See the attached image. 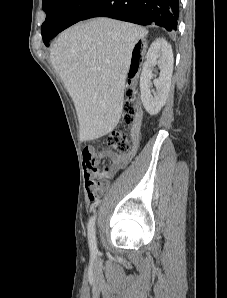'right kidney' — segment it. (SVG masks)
Masks as SVG:
<instances>
[{"instance_id":"1","label":"right kidney","mask_w":227,"mask_h":298,"mask_svg":"<svg viewBox=\"0 0 227 298\" xmlns=\"http://www.w3.org/2000/svg\"><path fill=\"white\" fill-rule=\"evenodd\" d=\"M173 63L171 45L165 39H156L150 45L140 76L141 101L150 115L157 114L166 103L171 86ZM156 65L160 70L158 78L152 73ZM152 84L155 90H151Z\"/></svg>"}]
</instances>
